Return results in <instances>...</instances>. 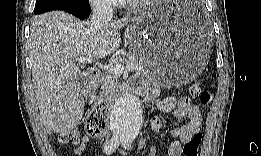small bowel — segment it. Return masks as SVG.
<instances>
[{
	"instance_id": "obj_1",
	"label": "small bowel",
	"mask_w": 261,
	"mask_h": 156,
	"mask_svg": "<svg viewBox=\"0 0 261 156\" xmlns=\"http://www.w3.org/2000/svg\"><path fill=\"white\" fill-rule=\"evenodd\" d=\"M131 84L135 90L145 96H149L159 111L165 113L173 112L174 116L178 119L188 118L187 123L179 125L173 129L172 140L167 151L168 156H180L182 153V145L189 141L195 133L201 131L203 118L199 107L195 105L187 96L180 98L168 96L159 99L156 96V87L144 80L134 78L131 80ZM151 125L152 129L157 132L160 131L163 127L162 120L156 116L152 118ZM89 142L90 137L88 135H84L78 147L75 148L74 154L76 156L83 155L88 147ZM145 146V140L140 139L137 145V153H141ZM155 154V147L151 146L149 155L155 156Z\"/></svg>"
}]
</instances>
